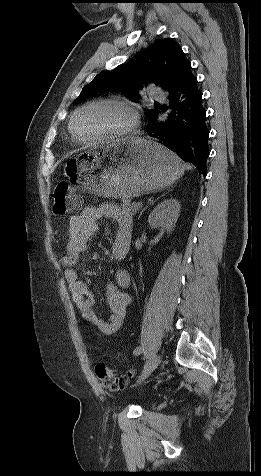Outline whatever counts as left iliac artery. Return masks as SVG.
I'll use <instances>...</instances> for the list:
<instances>
[{"mask_svg":"<svg viewBox=\"0 0 261 476\" xmlns=\"http://www.w3.org/2000/svg\"><path fill=\"white\" fill-rule=\"evenodd\" d=\"M143 351V348L142 347H137L135 350H134V355H139L141 354Z\"/></svg>","mask_w":261,"mask_h":476,"instance_id":"1","label":"left iliac artery"}]
</instances>
